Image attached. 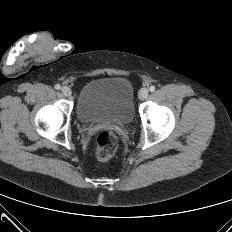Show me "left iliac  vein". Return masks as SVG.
I'll use <instances>...</instances> for the list:
<instances>
[{
  "instance_id": "obj_1",
  "label": "left iliac vein",
  "mask_w": 232,
  "mask_h": 232,
  "mask_svg": "<svg viewBox=\"0 0 232 232\" xmlns=\"http://www.w3.org/2000/svg\"><path fill=\"white\" fill-rule=\"evenodd\" d=\"M148 94H149V90L147 89V88H142L140 91H139V98L141 99V100H144V99H146L147 98V96H148Z\"/></svg>"
}]
</instances>
